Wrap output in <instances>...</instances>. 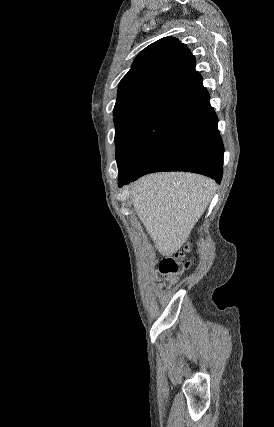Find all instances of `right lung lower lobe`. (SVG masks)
<instances>
[{"mask_svg":"<svg viewBox=\"0 0 274 427\" xmlns=\"http://www.w3.org/2000/svg\"><path fill=\"white\" fill-rule=\"evenodd\" d=\"M217 123L205 88L174 104L134 163L118 166L119 187L159 171L194 172L220 183L224 149Z\"/></svg>","mask_w":274,"mask_h":427,"instance_id":"obj_1","label":"right lung lower lobe"}]
</instances>
